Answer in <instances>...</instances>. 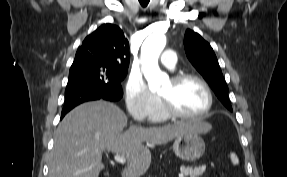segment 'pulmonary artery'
Here are the masks:
<instances>
[{"instance_id":"obj_1","label":"pulmonary artery","mask_w":287,"mask_h":177,"mask_svg":"<svg viewBox=\"0 0 287 177\" xmlns=\"http://www.w3.org/2000/svg\"><path fill=\"white\" fill-rule=\"evenodd\" d=\"M161 63L167 68L174 69L176 65V54L172 49H166L161 56Z\"/></svg>"}]
</instances>
